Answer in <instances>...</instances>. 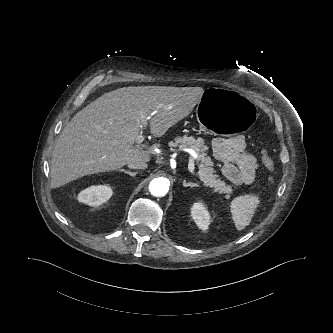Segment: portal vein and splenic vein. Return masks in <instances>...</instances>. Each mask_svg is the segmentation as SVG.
I'll return each mask as SVG.
<instances>
[{
    "instance_id": "obj_1",
    "label": "portal vein and splenic vein",
    "mask_w": 333,
    "mask_h": 333,
    "mask_svg": "<svg viewBox=\"0 0 333 333\" xmlns=\"http://www.w3.org/2000/svg\"><path fill=\"white\" fill-rule=\"evenodd\" d=\"M156 112H153L152 113V115L153 114H155ZM150 119V116H147V115H145V114H142L141 116H140V120H141V123H142V127H146L147 126V120H149ZM143 140H144V135H143V133H142V131H141V133L137 136V138H136V143L137 144H141L142 142H143ZM190 153V158H189V163H188V169H189V171L192 173V174H194V160L198 157L197 156V154L194 152V151H190L189 152Z\"/></svg>"
}]
</instances>
